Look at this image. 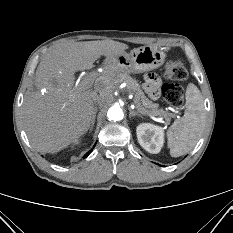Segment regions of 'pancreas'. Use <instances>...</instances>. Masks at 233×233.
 <instances>
[{
	"label": "pancreas",
	"instance_id": "1",
	"mask_svg": "<svg viewBox=\"0 0 233 233\" xmlns=\"http://www.w3.org/2000/svg\"><path fill=\"white\" fill-rule=\"evenodd\" d=\"M111 72H113L114 78L117 82H125L127 84V89L134 95V102L137 106L140 105L143 109H147L150 113L163 111L162 109H158V104L153 103L145 96L140 85L135 79L118 68H113Z\"/></svg>",
	"mask_w": 233,
	"mask_h": 233
}]
</instances>
